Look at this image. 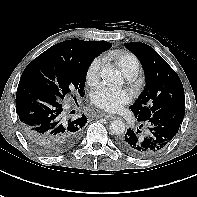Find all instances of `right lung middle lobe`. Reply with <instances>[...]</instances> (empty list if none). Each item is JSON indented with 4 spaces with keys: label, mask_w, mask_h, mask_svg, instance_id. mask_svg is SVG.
I'll use <instances>...</instances> for the list:
<instances>
[{
    "label": "right lung middle lobe",
    "mask_w": 197,
    "mask_h": 197,
    "mask_svg": "<svg viewBox=\"0 0 197 197\" xmlns=\"http://www.w3.org/2000/svg\"><path fill=\"white\" fill-rule=\"evenodd\" d=\"M111 46L91 50L76 61L64 59L49 48L28 64L20 80L45 86L60 102L73 91H78L82 96L90 63Z\"/></svg>",
    "instance_id": "dd1d6c3e"
}]
</instances>
